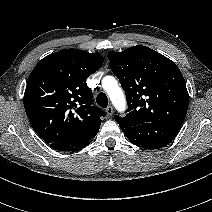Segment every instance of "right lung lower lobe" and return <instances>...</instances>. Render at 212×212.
I'll return each mask as SVG.
<instances>
[{"mask_svg":"<svg viewBox=\"0 0 212 212\" xmlns=\"http://www.w3.org/2000/svg\"><path fill=\"white\" fill-rule=\"evenodd\" d=\"M92 139L93 138L89 140L69 139V140H64L60 142L50 143L49 145L50 147H52L54 150H57V151H63V152L76 151L89 145Z\"/></svg>","mask_w":212,"mask_h":212,"instance_id":"98d812e1","label":"right lung lower lobe"}]
</instances>
